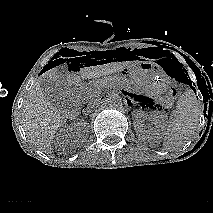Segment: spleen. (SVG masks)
<instances>
[{"label": "spleen", "instance_id": "1", "mask_svg": "<svg viewBox=\"0 0 213 213\" xmlns=\"http://www.w3.org/2000/svg\"><path fill=\"white\" fill-rule=\"evenodd\" d=\"M202 105L196 94L188 88L178 99L174 117L167 127L163 141L166 150H174L184 145L196 132Z\"/></svg>", "mask_w": 213, "mask_h": 213}]
</instances>
